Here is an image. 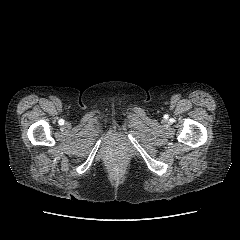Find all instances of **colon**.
I'll return each instance as SVG.
<instances>
[{
	"instance_id": "colon-1",
	"label": "colon",
	"mask_w": 240,
	"mask_h": 240,
	"mask_svg": "<svg viewBox=\"0 0 240 240\" xmlns=\"http://www.w3.org/2000/svg\"><path fill=\"white\" fill-rule=\"evenodd\" d=\"M120 163V161H117V164H119Z\"/></svg>"
}]
</instances>
